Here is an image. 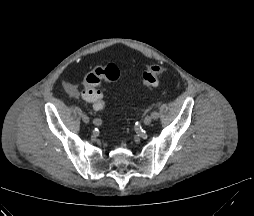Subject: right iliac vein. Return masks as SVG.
Instances as JSON below:
<instances>
[{
    "mask_svg": "<svg viewBox=\"0 0 254 216\" xmlns=\"http://www.w3.org/2000/svg\"><path fill=\"white\" fill-rule=\"evenodd\" d=\"M81 119L86 124H88L90 122V118L86 114H82Z\"/></svg>",
    "mask_w": 254,
    "mask_h": 216,
    "instance_id": "obj_1",
    "label": "right iliac vein"
}]
</instances>
